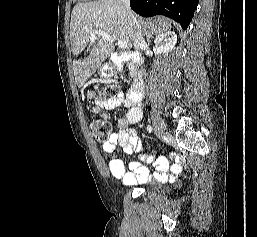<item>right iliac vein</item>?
<instances>
[{"label":"right iliac vein","mask_w":257,"mask_h":237,"mask_svg":"<svg viewBox=\"0 0 257 237\" xmlns=\"http://www.w3.org/2000/svg\"><path fill=\"white\" fill-rule=\"evenodd\" d=\"M153 120V127L155 134L158 138H161L164 133V126L161 118L155 114H151Z\"/></svg>","instance_id":"1"}]
</instances>
